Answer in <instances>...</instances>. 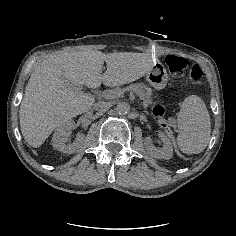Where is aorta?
<instances>
[{
	"mask_svg": "<svg viewBox=\"0 0 236 236\" xmlns=\"http://www.w3.org/2000/svg\"><path fill=\"white\" fill-rule=\"evenodd\" d=\"M116 110L119 114L125 115L130 111V104L127 102H119L117 104Z\"/></svg>",
	"mask_w": 236,
	"mask_h": 236,
	"instance_id": "aorta-1",
	"label": "aorta"
}]
</instances>
